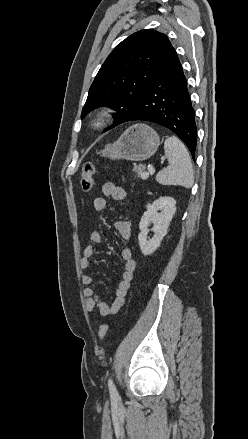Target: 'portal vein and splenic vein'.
Instances as JSON below:
<instances>
[{
	"mask_svg": "<svg viewBox=\"0 0 248 439\" xmlns=\"http://www.w3.org/2000/svg\"><path fill=\"white\" fill-rule=\"evenodd\" d=\"M147 169H148V172L143 173L142 179H147L148 176H149V173L150 174H154L155 173V169H154V167L151 164L148 165Z\"/></svg>",
	"mask_w": 248,
	"mask_h": 439,
	"instance_id": "portal-vein-and-splenic-vein-1",
	"label": "portal vein and splenic vein"
}]
</instances>
